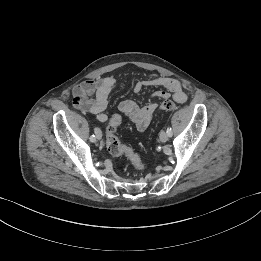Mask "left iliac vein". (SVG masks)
Returning <instances> with one entry per match:
<instances>
[{
	"label": "left iliac vein",
	"instance_id": "4c4485c4",
	"mask_svg": "<svg viewBox=\"0 0 261 261\" xmlns=\"http://www.w3.org/2000/svg\"><path fill=\"white\" fill-rule=\"evenodd\" d=\"M159 138L161 140V142H166L168 140V134L165 131H161Z\"/></svg>",
	"mask_w": 261,
	"mask_h": 261
}]
</instances>
